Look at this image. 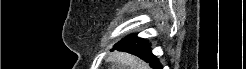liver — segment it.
<instances>
[{"instance_id": "6515ba94", "label": "liver", "mask_w": 246, "mask_h": 69, "mask_svg": "<svg viewBox=\"0 0 246 69\" xmlns=\"http://www.w3.org/2000/svg\"><path fill=\"white\" fill-rule=\"evenodd\" d=\"M110 60L113 62L112 67L117 69H150L149 65L138 57L124 52H114Z\"/></svg>"}]
</instances>
